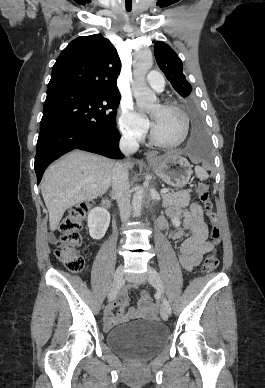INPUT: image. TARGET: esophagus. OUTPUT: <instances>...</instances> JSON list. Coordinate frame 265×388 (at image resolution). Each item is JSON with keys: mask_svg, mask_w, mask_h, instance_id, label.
I'll list each match as a JSON object with an SVG mask.
<instances>
[{"mask_svg": "<svg viewBox=\"0 0 265 388\" xmlns=\"http://www.w3.org/2000/svg\"><path fill=\"white\" fill-rule=\"evenodd\" d=\"M153 157H155V153L154 152H147L146 153L147 160H151Z\"/></svg>", "mask_w": 265, "mask_h": 388, "instance_id": "obj_1", "label": "esophagus"}]
</instances>
